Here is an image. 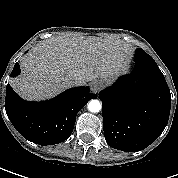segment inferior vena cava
Masks as SVG:
<instances>
[{
	"label": "inferior vena cava",
	"mask_w": 178,
	"mask_h": 178,
	"mask_svg": "<svg viewBox=\"0 0 178 178\" xmlns=\"http://www.w3.org/2000/svg\"><path fill=\"white\" fill-rule=\"evenodd\" d=\"M69 81H70V83L72 84V85H79L80 84V81H79V79L77 78V77H70L69 78Z\"/></svg>",
	"instance_id": "1"
}]
</instances>
